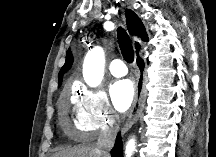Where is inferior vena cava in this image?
<instances>
[{"mask_svg":"<svg viewBox=\"0 0 216 157\" xmlns=\"http://www.w3.org/2000/svg\"><path fill=\"white\" fill-rule=\"evenodd\" d=\"M115 132L104 130L100 133L96 151L101 157H109V151L113 148Z\"/></svg>","mask_w":216,"mask_h":157,"instance_id":"602c4592","label":"inferior vena cava"}]
</instances>
